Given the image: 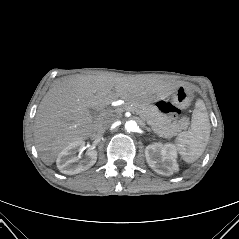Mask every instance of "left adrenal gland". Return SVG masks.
<instances>
[{
    "label": "left adrenal gland",
    "mask_w": 239,
    "mask_h": 239,
    "mask_svg": "<svg viewBox=\"0 0 239 239\" xmlns=\"http://www.w3.org/2000/svg\"><path fill=\"white\" fill-rule=\"evenodd\" d=\"M145 130H147L148 132H151L152 129L151 128H148V127H145Z\"/></svg>",
    "instance_id": "obj_1"
}]
</instances>
